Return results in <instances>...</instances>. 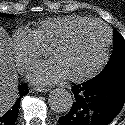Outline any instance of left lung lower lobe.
<instances>
[{
    "instance_id": "1",
    "label": "left lung lower lobe",
    "mask_w": 125,
    "mask_h": 125,
    "mask_svg": "<svg viewBox=\"0 0 125 125\" xmlns=\"http://www.w3.org/2000/svg\"><path fill=\"white\" fill-rule=\"evenodd\" d=\"M75 101L60 125H108L125 102V70L72 87Z\"/></svg>"
}]
</instances>
